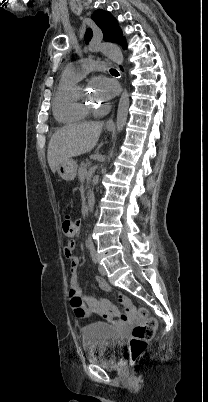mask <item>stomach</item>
Masks as SVG:
<instances>
[{
    "label": "stomach",
    "mask_w": 208,
    "mask_h": 402,
    "mask_svg": "<svg viewBox=\"0 0 208 402\" xmlns=\"http://www.w3.org/2000/svg\"><path fill=\"white\" fill-rule=\"evenodd\" d=\"M107 130H112V128H107ZM56 172H58L62 180H66V182H71V180H74V178H76L77 164L76 162H74V160H72V158H68V160H64V162H61V164H59Z\"/></svg>",
    "instance_id": "stomach-1"
}]
</instances>
